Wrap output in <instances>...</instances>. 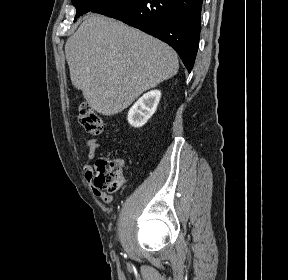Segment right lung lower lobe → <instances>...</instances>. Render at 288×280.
I'll list each match as a JSON object with an SVG mask.
<instances>
[{
  "instance_id": "1",
  "label": "right lung lower lobe",
  "mask_w": 288,
  "mask_h": 280,
  "mask_svg": "<svg viewBox=\"0 0 288 280\" xmlns=\"http://www.w3.org/2000/svg\"><path fill=\"white\" fill-rule=\"evenodd\" d=\"M202 0H109L94 10L169 44L191 72L200 36Z\"/></svg>"
}]
</instances>
